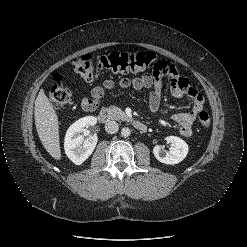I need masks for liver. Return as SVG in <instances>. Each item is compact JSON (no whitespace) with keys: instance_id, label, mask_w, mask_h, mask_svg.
<instances>
[{"instance_id":"liver-1","label":"liver","mask_w":247,"mask_h":247,"mask_svg":"<svg viewBox=\"0 0 247 247\" xmlns=\"http://www.w3.org/2000/svg\"><path fill=\"white\" fill-rule=\"evenodd\" d=\"M34 118L43 147L54 159L60 160L58 115L43 89L39 91L35 100Z\"/></svg>"}]
</instances>
